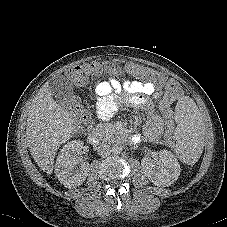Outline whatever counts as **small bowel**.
Here are the masks:
<instances>
[{"mask_svg": "<svg viewBox=\"0 0 227 227\" xmlns=\"http://www.w3.org/2000/svg\"><path fill=\"white\" fill-rule=\"evenodd\" d=\"M94 92L98 97L96 115L102 121L113 116L119 104L118 94H125L127 101L132 105H146L148 97L158 98L160 96L151 82L130 80L120 82L114 78L98 83ZM162 126V119L153 116L144 131L145 137L149 140H156Z\"/></svg>", "mask_w": 227, "mask_h": 227, "instance_id": "obj_1", "label": "small bowel"}]
</instances>
